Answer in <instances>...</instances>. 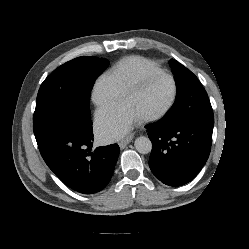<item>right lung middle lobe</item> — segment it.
<instances>
[{"mask_svg":"<svg viewBox=\"0 0 249 249\" xmlns=\"http://www.w3.org/2000/svg\"><path fill=\"white\" fill-rule=\"evenodd\" d=\"M108 65L104 58L82 56L52 72L38 91L33 116L34 133L54 123L90 121L91 90L96 78Z\"/></svg>","mask_w":249,"mask_h":249,"instance_id":"right-lung-middle-lobe-1","label":"right lung middle lobe"}]
</instances>
